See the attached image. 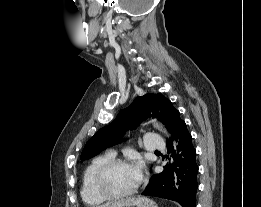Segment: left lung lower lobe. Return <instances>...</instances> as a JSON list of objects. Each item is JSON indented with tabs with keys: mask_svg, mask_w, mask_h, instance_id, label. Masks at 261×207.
<instances>
[{
	"mask_svg": "<svg viewBox=\"0 0 261 207\" xmlns=\"http://www.w3.org/2000/svg\"><path fill=\"white\" fill-rule=\"evenodd\" d=\"M173 139L178 144L177 154L171 141L167 142V148L168 152H173L174 163L164 166L162 173L153 174L142 195L173 200L182 207H196L198 189L196 150L183 120L179 122Z\"/></svg>",
	"mask_w": 261,
	"mask_h": 207,
	"instance_id": "1",
	"label": "left lung lower lobe"
}]
</instances>
